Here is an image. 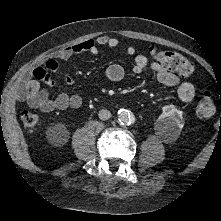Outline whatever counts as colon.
<instances>
[{"mask_svg":"<svg viewBox=\"0 0 221 221\" xmlns=\"http://www.w3.org/2000/svg\"><path fill=\"white\" fill-rule=\"evenodd\" d=\"M151 55L164 69L176 72L181 76H190L194 71L192 62L177 52L152 49ZM214 110L215 102L213 94L208 90L203 91L199 97L196 108L198 117L201 119L210 118ZM21 120L24 128L28 132H35L41 125L40 117L30 111L24 112Z\"/></svg>","mask_w":221,"mask_h":221,"instance_id":"obj_1","label":"colon"}]
</instances>
